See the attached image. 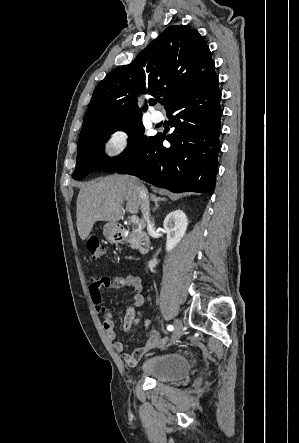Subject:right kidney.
<instances>
[{
    "label": "right kidney",
    "instance_id": "obj_1",
    "mask_svg": "<svg viewBox=\"0 0 299 443\" xmlns=\"http://www.w3.org/2000/svg\"><path fill=\"white\" fill-rule=\"evenodd\" d=\"M163 226L167 233L166 251L171 252L185 235L188 226L187 216L182 210L170 212L164 219ZM157 263L156 258L152 259L148 263V268L153 270Z\"/></svg>",
    "mask_w": 299,
    "mask_h": 443
}]
</instances>
